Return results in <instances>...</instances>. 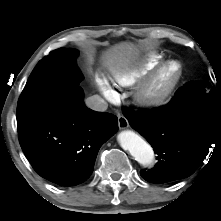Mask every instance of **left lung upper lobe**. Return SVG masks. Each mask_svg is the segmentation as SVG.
Segmentation results:
<instances>
[{"mask_svg":"<svg viewBox=\"0 0 221 221\" xmlns=\"http://www.w3.org/2000/svg\"><path fill=\"white\" fill-rule=\"evenodd\" d=\"M170 109L179 111H207L220 112L221 92L215 89L205 91V83L196 81L193 87L179 89L172 101L168 104Z\"/></svg>","mask_w":221,"mask_h":221,"instance_id":"left-lung-upper-lobe-1","label":"left lung upper lobe"}]
</instances>
